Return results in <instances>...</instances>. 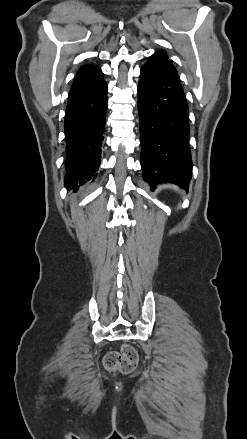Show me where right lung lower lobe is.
Here are the masks:
<instances>
[{"label": "right lung lower lobe", "instance_id": "98d812e1", "mask_svg": "<svg viewBox=\"0 0 247 439\" xmlns=\"http://www.w3.org/2000/svg\"><path fill=\"white\" fill-rule=\"evenodd\" d=\"M107 83L69 93L65 117L67 162L65 187L70 190L96 178L107 107Z\"/></svg>", "mask_w": 247, "mask_h": 439}]
</instances>
